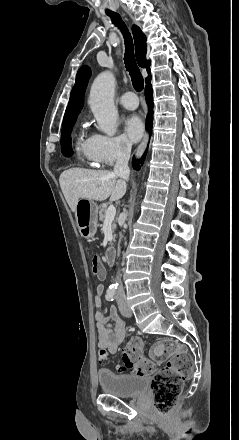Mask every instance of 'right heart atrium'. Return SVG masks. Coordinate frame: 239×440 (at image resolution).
Wrapping results in <instances>:
<instances>
[{"label": "right heart atrium", "instance_id": "right-heart-atrium-1", "mask_svg": "<svg viewBox=\"0 0 239 440\" xmlns=\"http://www.w3.org/2000/svg\"><path fill=\"white\" fill-rule=\"evenodd\" d=\"M87 149L99 164L111 166L126 151V145L119 138L92 133L87 138Z\"/></svg>", "mask_w": 239, "mask_h": 440}]
</instances>
